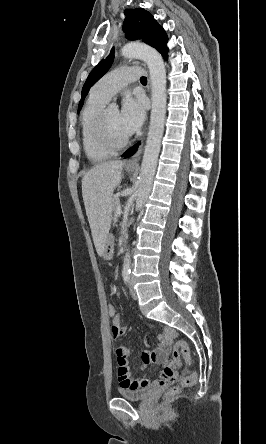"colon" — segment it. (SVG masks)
Listing matches in <instances>:
<instances>
[{"instance_id":"1","label":"colon","mask_w":266,"mask_h":444,"mask_svg":"<svg viewBox=\"0 0 266 444\" xmlns=\"http://www.w3.org/2000/svg\"><path fill=\"white\" fill-rule=\"evenodd\" d=\"M107 314L111 319L119 314L112 303L107 304ZM181 359H183L188 364L191 363L190 347L188 343L183 340H179L175 345L172 354V363L175 366H179L181 364ZM196 380H197V374L194 371L188 373L186 376L182 378L179 386L172 387L171 389L168 390L166 396H171L177 393L181 387H189L194 385L196 383Z\"/></svg>"}]
</instances>
